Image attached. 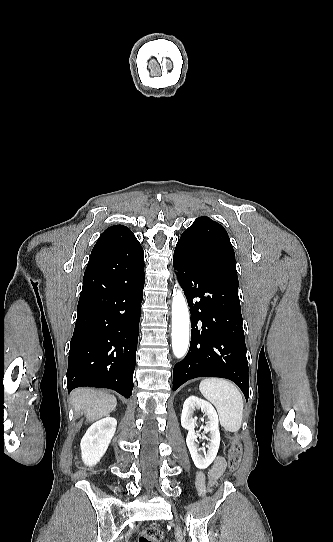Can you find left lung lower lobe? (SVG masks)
<instances>
[{
	"instance_id": "left-lung-lower-lobe-1",
	"label": "left lung lower lobe",
	"mask_w": 333,
	"mask_h": 542,
	"mask_svg": "<svg viewBox=\"0 0 333 542\" xmlns=\"http://www.w3.org/2000/svg\"><path fill=\"white\" fill-rule=\"evenodd\" d=\"M173 266L191 312V342L173 370V391L197 377L235 382L249 397L248 362L238 278L194 263L176 247Z\"/></svg>"
}]
</instances>
